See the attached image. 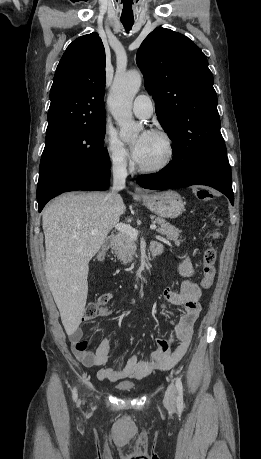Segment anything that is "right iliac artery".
<instances>
[{
    "label": "right iliac artery",
    "mask_w": 261,
    "mask_h": 459,
    "mask_svg": "<svg viewBox=\"0 0 261 459\" xmlns=\"http://www.w3.org/2000/svg\"><path fill=\"white\" fill-rule=\"evenodd\" d=\"M73 399H74V400L77 399V393H76V390H75V389L73 390Z\"/></svg>",
    "instance_id": "right-iliac-artery-1"
}]
</instances>
